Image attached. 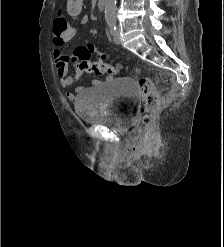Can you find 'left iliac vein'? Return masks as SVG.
Listing matches in <instances>:
<instances>
[{
	"instance_id": "left-iliac-vein-1",
	"label": "left iliac vein",
	"mask_w": 224,
	"mask_h": 247,
	"mask_svg": "<svg viewBox=\"0 0 224 247\" xmlns=\"http://www.w3.org/2000/svg\"><path fill=\"white\" fill-rule=\"evenodd\" d=\"M113 39H114V42L119 44L121 39H120V31L119 29H116L113 33Z\"/></svg>"
}]
</instances>
